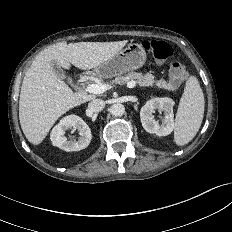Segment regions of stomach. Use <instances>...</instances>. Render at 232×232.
<instances>
[{"instance_id": "stomach-1", "label": "stomach", "mask_w": 232, "mask_h": 232, "mask_svg": "<svg viewBox=\"0 0 232 232\" xmlns=\"http://www.w3.org/2000/svg\"><path fill=\"white\" fill-rule=\"evenodd\" d=\"M146 61V52L141 44L129 43L111 59L94 69L95 74L111 78L141 68Z\"/></svg>"}]
</instances>
